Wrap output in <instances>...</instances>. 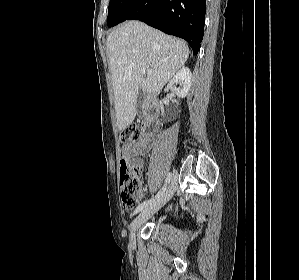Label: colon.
<instances>
[{"instance_id": "obj_1", "label": "colon", "mask_w": 299, "mask_h": 280, "mask_svg": "<svg viewBox=\"0 0 299 280\" xmlns=\"http://www.w3.org/2000/svg\"><path fill=\"white\" fill-rule=\"evenodd\" d=\"M141 139L140 129L129 125L121 130L120 140L123 147L138 143ZM120 186L123 207L132 210L139 201L142 186L141 167L123 156L120 162Z\"/></svg>"}]
</instances>
